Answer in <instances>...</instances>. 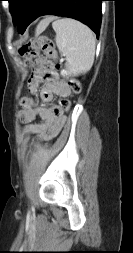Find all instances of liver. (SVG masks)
<instances>
[{
    "label": "liver",
    "mask_w": 133,
    "mask_h": 253,
    "mask_svg": "<svg viewBox=\"0 0 133 253\" xmlns=\"http://www.w3.org/2000/svg\"><path fill=\"white\" fill-rule=\"evenodd\" d=\"M53 19L54 17L48 16L42 21H40V23L38 24L36 28V35H39L40 33H42Z\"/></svg>",
    "instance_id": "liver-1"
}]
</instances>
